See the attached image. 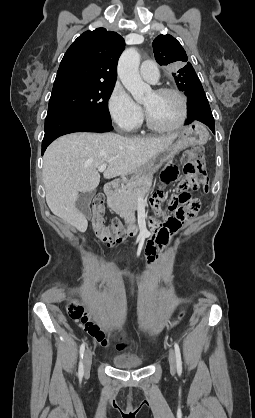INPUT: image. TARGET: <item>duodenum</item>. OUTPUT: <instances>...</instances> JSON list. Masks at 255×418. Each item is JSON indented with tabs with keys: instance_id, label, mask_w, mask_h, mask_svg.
<instances>
[{
	"instance_id": "duodenum-1",
	"label": "duodenum",
	"mask_w": 255,
	"mask_h": 418,
	"mask_svg": "<svg viewBox=\"0 0 255 418\" xmlns=\"http://www.w3.org/2000/svg\"><path fill=\"white\" fill-rule=\"evenodd\" d=\"M119 187V181L111 182L105 185L104 192L106 196L112 197L116 194ZM123 233L128 237H135L140 233V226L135 220H130L126 223Z\"/></svg>"
}]
</instances>
